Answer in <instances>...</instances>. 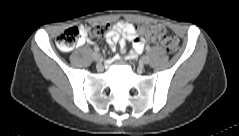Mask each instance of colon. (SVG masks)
<instances>
[{"mask_svg": "<svg viewBox=\"0 0 239 136\" xmlns=\"http://www.w3.org/2000/svg\"><path fill=\"white\" fill-rule=\"evenodd\" d=\"M110 25L103 22H89L80 27H71L58 35L57 46L63 50H71L79 43L83 34L102 37L108 33ZM143 34L153 42H160L169 53L177 52L179 40L175 36L165 34V28L159 24H145L142 27Z\"/></svg>", "mask_w": 239, "mask_h": 136, "instance_id": "obj_1", "label": "colon"}]
</instances>
